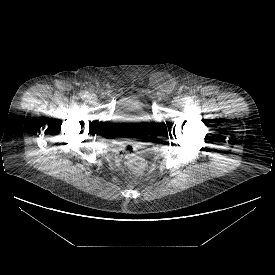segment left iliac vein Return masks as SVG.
<instances>
[{"label": "left iliac vein", "instance_id": "obj_1", "mask_svg": "<svg viewBox=\"0 0 275 275\" xmlns=\"http://www.w3.org/2000/svg\"><path fill=\"white\" fill-rule=\"evenodd\" d=\"M184 103V99L182 98V97H180V96H177V97H175L174 99H173V104L175 105V106H180V105H182Z\"/></svg>", "mask_w": 275, "mask_h": 275}]
</instances>
